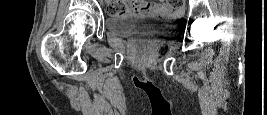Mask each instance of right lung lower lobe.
<instances>
[{
    "label": "right lung lower lobe",
    "mask_w": 267,
    "mask_h": 115,
    "mask_svg": "<svg viewBox=\"0 0 267 115\" xmlns=\"http://www.w3.org/2000/svg\"><path fill=\"white\" fill-rule=\"evenodd\" d=\"M142 89H144V90H150L149 88H147V87H141Z\"/></svg>",
    "instance_id": "1"
}]
</instances>
